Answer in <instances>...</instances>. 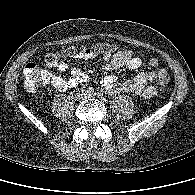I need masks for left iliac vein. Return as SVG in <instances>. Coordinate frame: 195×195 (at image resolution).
Masks as SVG:
<instances>
[{
    "label": "left iliac vein",
    "instance_id": "obj_1",
    "mask_svg": "<svg viewBox=\"0 0 195 195\" xmlns=\"http://www.w3.org/2000/svg\"><path fill=\"white\" fill-rule=\"evenodd\" d=\"M96 96H97V95H96V93H94V92L88 93V97H89V98L96 97Z\"/></svg>",
    "mask_w": 195,
    "mask_h": 195
}]
</instances>
